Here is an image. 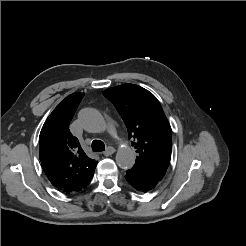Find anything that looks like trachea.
<instances>
[{
  "mask_svg": "<svg viewBox=\"0 0 246 246\" xmlns=\"http://www.w3.org/2000/svg\"><path fill=\"white\" fill-rule=\"evenodd\" d=\"M92 150L93 152H101L105 150V145L100 140H93L92 142Z\"/></svg>",
  "mask_w": 246,
  "mask_h": 246,
  "instance_id": "1",
  "label": "trachea"
}]
</instances>
